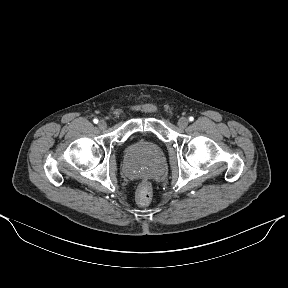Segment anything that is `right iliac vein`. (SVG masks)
Listing matches in <instances>:
<instances>
[{"label":"right iliac vein","instance_id":"1","mask_svg":"<svg viewBox=\"0 0 288 288\" xmlns=\"http://www.w3.org/2000/svg\"><path fill=\"white\" fill-rule=\"evenodd\" d=\"M98 127H99L101 130H104V129L107 127L106 121L100 120L99 123H98Z\"/></svg>","mask_w":288,"mask_h":288}]
</instances>
